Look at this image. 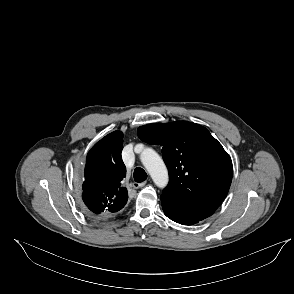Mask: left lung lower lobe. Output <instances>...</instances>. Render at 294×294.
Returning <instances> with one entry per match:
<instances>
[{"label": "left lung lower lobe", "mask_w": 294, "mask_h": 294, "mask_svg": "<svg viewBox=\"0 0 294 294\" xmlns=\"http://www.w3.org/2000/svg\"><path fill=\"white\" fill-rule=\"evenodd\" d=\"M162 208H163L165 215L168 218H170L171 220H173L177 223L183 224V225H193V224H196L199 221L203 220V219H199L194 216H191L180 209L168 206L163 202H162Z\"/></svg>", "instance_id": "1"}]
</instances>
